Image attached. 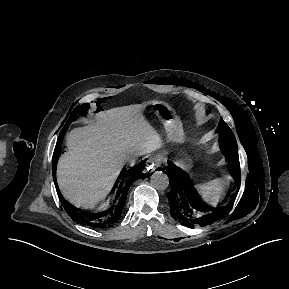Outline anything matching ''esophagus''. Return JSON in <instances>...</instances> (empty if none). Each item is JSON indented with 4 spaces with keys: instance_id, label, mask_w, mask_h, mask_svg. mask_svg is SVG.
<instances>
[{
    "instance_id": "34e87169",
    "label": "esophagus",
    "mask_w": 289,
    "mask_h": 289,
    "mask_svg": "<svg viewBox=\"0 0 289 289\" xmlns=\"http://www.w3.org/2000/svg\"><path fill=\"white\" fill-rule=\"evenodd\" d=\"M161 166V159L159 156H151L146 161L147 170L151 172L156 171Z\"/></svg>"
}]
</instances>
